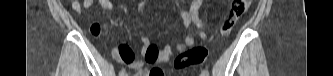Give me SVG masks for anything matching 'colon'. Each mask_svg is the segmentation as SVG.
Listing matches in <instances>:
<instances>
[{
    "label": "colon",
    "instance_id": "obj_1",
    "mask_svg": "<svg viewBox=\"0 0 333 76\" xmlns=\"http://www.w3.org/2000/svg\"><path fill=\"white\" fill-rule=\"evenodd\" d=\"M250 2L251 1L249 0H234L232 2L229 17L222 24L220 30L221 35L225 36L230 33L235 20L244 13ZM207 54L208 52L206 48L201 46L194 47L184 54L178 56L174 61V67L176 69H181L191 65L202 64L207 58Z\"/></svg>",
    "mask_w": 333,
    "mask_h": 76
}]
</instances>
